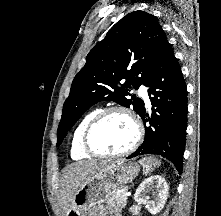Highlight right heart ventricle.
Listing matches in <instances>:
<instances>
[{
    "label": "right heart ventricle",
    "instance_id": "1",
    "mask_svg": "<svg viewBox=\"0 0 221 216\" xmlns=\"http://www.w3.org/2000/svg\"><path fill=\"white\" fill-rule=\"evenodd\" d=\"M99 112V109H92L84 114L77 124L70 144V155L73 159H84L90 157L82 147V134L89 121Z\"/></svg>",
    "mask_w": 221,
    "mask_h": 216
}]
</instances>
